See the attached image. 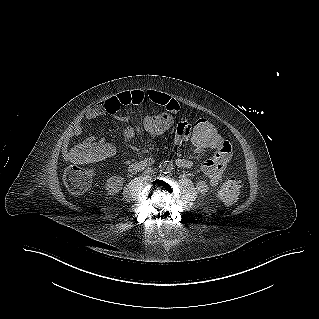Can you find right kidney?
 <instances>
[{
    "label": "right kidney",
    "instance_id": "1",
    "mask_svg": "<svg viewBox=\"0 0 319 319\" xmlns=\"http://www.w3.org/2000/svg\"><path fill=\"white\" fill-rule=\"evenodd\" d=\"M124 178L121 176H112L110 177L106 184L105 189L107 190L108 195H116L122 190Z\"/></svg>",
    "mask_w": 319,
    "mask_h": 319
}]
</instances>
